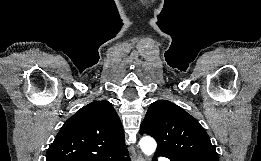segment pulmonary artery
Masks as SVG:
<instances>
[{
	"label": "pulmonary artery",
	"mask_w": 261,
	"mask_h": 161,
	"mask_svg": "<svg viewBox=\"0 0 261 161\" xmlns=\"http://www.w3.org/2000/svg\"><path fill=\"white\" fill-rule=\"evenodd\" d=\"M161 161H170V160H168V159L164 158V159H162Z\"/></svg>",
	"instance_id": "e3ab8cb5"
}]
</instances>
